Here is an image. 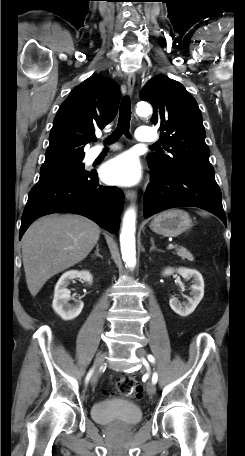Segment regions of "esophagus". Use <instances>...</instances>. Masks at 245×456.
Listing matches in <instances>:
<instances>
[{"instance_id":"obj_1","label":"esophagus","mask_w":245,"mask_h":456,"mask_svg":"<svg viewBox=\"0 0 245 456\" xmlns=\"http://www.w3.org/2000/svg\"><path fill=\"white\" fill-rule=\"evenodd\" d=\"M135 76L132 74L128 77L127 79V88H128V93L131 95L133 93L134 87H135ZM125 196L128 200L134 201L136 199V192L134 190H126L125 191Z\"/></svg>"}]
</instances>
